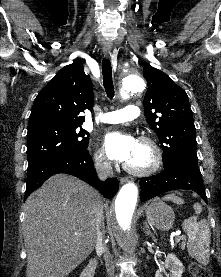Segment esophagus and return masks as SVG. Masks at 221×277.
Instances as JSON below:
<instances>
[{"label":"esophagus","mask_w":221,"mask_h":277,"mask_svg":"<svg viewBox=\"0 0 221 277\" xmlns=\"http://www.w3.org/2000/svg\"><path fill=\"white\" fill-rule=\"evenodd\" d=\"M104 55L106 56V57H108L110 54H111V51L109 50V49H104ZM131 178H129V177H122V178H120V183L121 184H124V183H127V182H131Z\"/></svg>","instance_id":"obj_1"}]
</instances>
